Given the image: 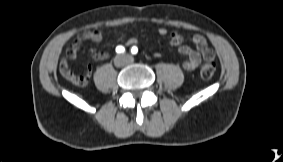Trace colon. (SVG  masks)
Instances as JSON below:
<instances>
[{
    "mask_svg": "<svg viewBox=\"0 0 283 162\" xmlns=\"http://www.w3.org/2000/svg\"><path fill=\"white\" fill-rule=\"evenodd\" d=\"M60 72L63 77L77 85H85L90 79L89 70L81 74L73 73L70 69L62 68ZM216 72V62L214 58L205 59L204 63L200 66L199 73L203 79H211Z\"/></svg>",
    "mask_w": 283,
    "mask_h": 162,
    "instance_id": "colon-1",
    "label": "colon"
}]
</instances>
